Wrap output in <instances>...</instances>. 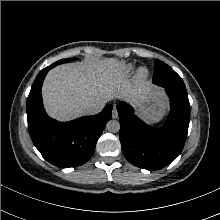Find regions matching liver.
Segmentation results:
<instances>
[{"mask_svg": "<svg viewBox=\"0 0 220 220\" xmlns=\"http://www.w3.org/2000/svg\"><path fill=\"white\" fill-rule=\"evenodd\" d=\"M123 64L115 58L89 59L62 64L46 76L42 97L49 116L68 121L85 115V107L98 101L121 97L141 104L155 91L149 83L132 84L122 73Z\"/></svg>", "mask_w": 220, "mask_h": 220, "instance_id": "obj_1", "label": "liver"}]
</instances>
